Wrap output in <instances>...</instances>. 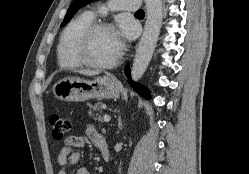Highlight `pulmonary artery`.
I'll list each match as a JSON object with an SVG mask.
<instances>
[{
  "mask_svg": "<svg viewBox=\"0 0 249 174\" xmlns=\"http://www.w3.org/2000/svg\"><path fill=\"white\" fill-rule=\"evenodd\" d=\"M140 0H110L109 6L113 9L123 10V11H130L135 12L139 10ZM101 10H104V6L102 5ZM92 18L95 17V13L93 11H89L87 13Z\"/></svg>",
  "mask_w": 249,
  "mask_h": 174,
  "instance_id": "1",
  "label": "pulmonary artery"
}]
</instances>
